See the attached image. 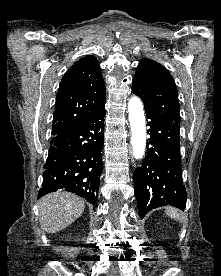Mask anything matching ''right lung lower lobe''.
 I'll return each mask as SVG.
<instances>
[{
    "label": "right lung lower lobe",
    "instance_id": "right-lung-lower-lobe-1",
    "mask_svg": "<svg viewBox=\"0 0 221 276\" xmlns=\"http://www.w3.org/2000/svg\"><path fill=\"white\" fill-rule=\"evenodd\" d=\"M105 107L82 124L54 135L38 198L64 189L96 205L102 172Z\"/></svg>",
    "mask_w": 221,
    "mask_h": 276
}]
</instances>
